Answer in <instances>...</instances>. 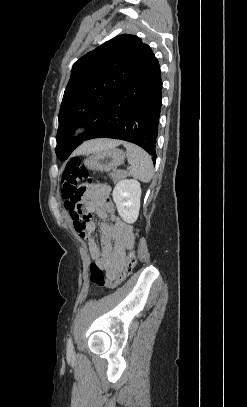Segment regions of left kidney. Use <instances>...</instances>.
<instances>
[{"label": "left kidney", "mask_w": 247, "mask_h": 407, "mask_svg": "<svg viewBox=\"0 0 247 407\" xmlns=\"http://www.w3.org/2000/svg\"><path fill=\"white\" fill-rule=\"evenodd\" d=\"M120 217L127 223L133 224L139 215L141 187L134 179L120 180L112 193Z\"/></svg>", "instance_id": "left-kidney-1"}]
</instances>
